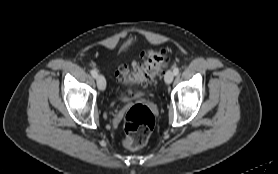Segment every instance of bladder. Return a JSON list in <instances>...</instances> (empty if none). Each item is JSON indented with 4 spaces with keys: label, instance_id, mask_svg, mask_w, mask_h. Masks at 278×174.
Returning <instances> with one entry per match:
<instances>
[{
    "label": "bladder",
    "instance_id": "obj_1",
    "mask_svg": "<svg viewBox=\"0 0 278 174\" xmlns=\"http://www.w3.org/2000/svg\"><path fill=\"white\" fill-rule=\"evenodd\" d=\"M141 93L140 92H136L135 95H140ZM130 97V95L126 92H120L119 94V99L121 100H126Z\"/></svg>",
    "mask_w": 278,
    "mask_h": 174
}]
</instances>
